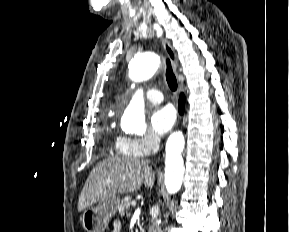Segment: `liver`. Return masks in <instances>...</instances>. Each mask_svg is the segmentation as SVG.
<instances>
[{
  "mask_svg": "<svg viewBox=\"0 0 289 232\" xmlns=\"http://www.w3.org/2000/svg\"><path fill=\"white\" fill-rule=\"evenodd\" d=\"M154 182L155 172L148 161L136 157H110L92 169L79 196L78 211L117 194L138 190L142 184L152 188Z\"/></svg>",
  "mask_w": 289,
  "mask_h": 232,
  "instance_id": "obj_1",
  "label": "liver"
}]
</instances>
